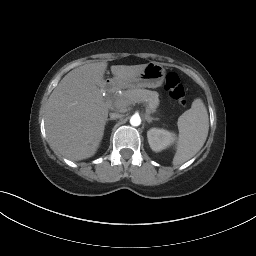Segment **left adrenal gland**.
<instances>
[{"label":"left adrenal gland","instance_id":"1","mask_svg":"<svg viewBox=\"0 0 256 256\" xmlns=\"http://www.w3.org/2000/svg\"><path fill=\"white\" fill-rule=\"evenodd\" d=\"M145 120H146L148 123H151L153 120H158V118H153V117H151L149 114H145Z\"/></svg>","mask_w":256,"mask_h":256}]
</instances>
